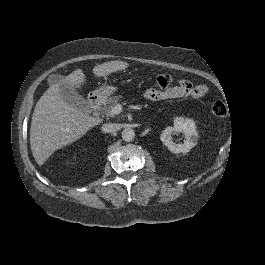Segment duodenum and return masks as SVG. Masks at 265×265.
<instances>
[{
	"instance_id": "obj_1",
	"label": "duodenum",
	"mask_w": 265,
	"mask_h": 265,
	"mask_svg": "<svg viewBox=\"0 0 265 265\" xmlns=\"http://www.w3.org/2000/svg\"><path fill=\"white\" fill-rule=\"evenodd\" d=\"M88 100L91 108L97 110L102 104L103 97L99 93H93L89 96Z\"/></svg>"
}]
</instances>
